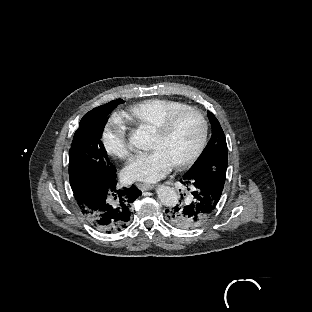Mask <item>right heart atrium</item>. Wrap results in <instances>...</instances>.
I'll return each mask as SVG.
<instances>
[{
	"label": "right heart atrium",
	"mask_w": 312,
	"mask_h": 312,
	"mask_svg": "<svg viewBox=\"0 0 312 312\" xmlns=\"http://www.w3.org/2000/svg\"><path fill=\"white\" fill-rule=\"evenodd\" d=\"M103 140L108 144L105 148V155L113 162H120L126 156V148L129 144V131L126 127L120 126L115 117H108L103 122Z\"/></svg>",
	"instance_id": "obj_1"
}]
</instances>
